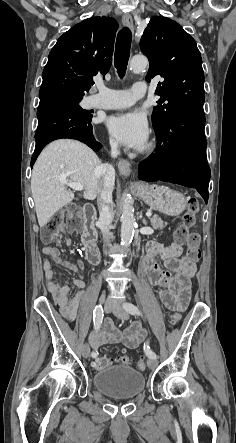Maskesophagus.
<instances>
[{"instance_id":"obj_1","label":"esophagus","mask_w":236,"mask_h":443,"mask_svg":"<svg viewBox=\"0 0 236 443\" xmlns=\"http://www.w3.org/2000/svg\"><path fill=\"white\" fill-rule=\"evenodd\" d=\"M122 22L129 29H131V30L134 29L133 19L130 14H128V13L123 14ZM117 166H118V170H119L120 174H122L123 176H126V177H128L130 175L131 168H130V163L127 160L119 159Z\"/></svg>"}]
</instances>
